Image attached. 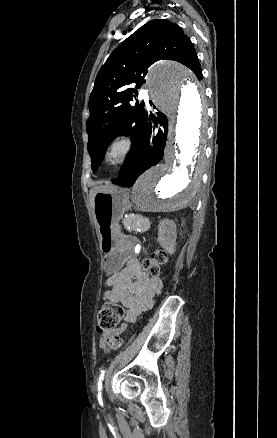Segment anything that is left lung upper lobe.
Segmentation results:
<instances>
[{"instance_id": "1", "label": "left lung upper lobe", "mask_w": 277, "mask_h": 438, "mask_svg": "<svg viewBox=\"0 0 277 438\" xmlns=\"http://www.w3.org/2000/svg\"><path fill=\"white\" fill-rule=\"evenodd\" d=\"M162 59L178 61L199 80L203 78L190 39L177 24L165 19H155L140 27L111 53L99 70L89 98L90 116L86 123L93 171L119 133L131 134L138 144L141 142L148 126V113L143 103L132 106L131 102L145 83L147 69ZM132 83H136L135 88L130 87Z\"/></svg>"}]
</instances>
